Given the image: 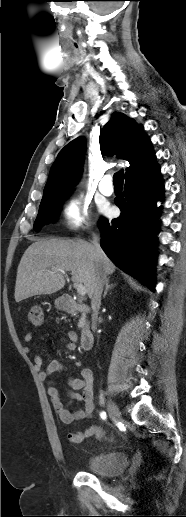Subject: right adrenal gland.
I'll return each instance as SVG.
<instances>
[{
  "label": "right adrenal gland",
  "mask_w": 186,
  "mask_h": 517,
  "mask_svg": "<svg viewBox=\"0 0 186 517\" xmlns=\"http://www.w3.org/2000/svg\"><path fill=\"white\" fill-rule=\"evenodd\" d=\"M115 286H116V284H109V277H108L107 281H106V286H105V291H104L103 297L105 298L108 291L111 290L112 288H114Z\"/></svg>",
  "instance_id": "1"
}]
</instances>
